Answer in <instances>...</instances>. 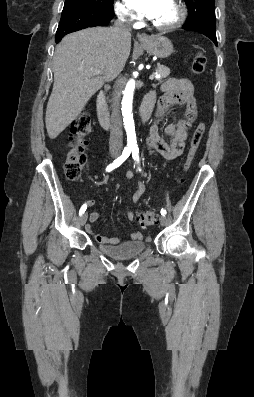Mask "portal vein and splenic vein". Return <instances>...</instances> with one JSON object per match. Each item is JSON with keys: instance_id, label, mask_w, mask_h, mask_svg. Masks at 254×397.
<instances>
[{"instance_id": "1", "label": "portal vein and splenic vein", "mask_w": 254, "mask_h": 397, "mask_svg": "<svg viewBox=\"0 0 254 397\" xmlns=\"http://www.w3.org/2000/svg\"><path fill=\"white\" fill-rule=\"evenodd\" d=\"M93 73H95V74H100V73H102V71H101V70H96V71H94ZM154 77L159 78L160 75H157V73H156V75H155V74H152V75H150L149 79H150V80H153Z\"/></svg>"}]
</instances>
